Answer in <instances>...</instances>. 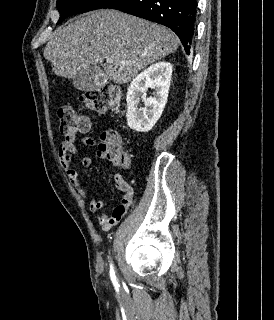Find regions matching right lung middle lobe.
<instances>
[{"label": "right lung middle lobe", "instance_id": "1", "mask_svg": "<svg viewBox=\"0 0 274 320\" xmlns=\"http://www.w3.org/2000/svg\"><path fill=\"white\" fill-rule=\"evenodd\" d=\"M112 0H57V9L60 18L57 24H60L66 17L73 14L101 9Z\"/></svg>", "mask_w": 274, "mask_h": 320}]
</instances>
